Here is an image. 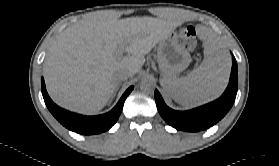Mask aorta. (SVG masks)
Listing matches in <instances>:
<instances>
[{
	"label": "aorta",
	"instance_id": "aorta-1",
	"mask_svg": "<svg viewBox=\"0 0 279 166\" xmlns=\"http://www.w3.org/2000/svg\"><path fill=\"white\" fill-rule=\"evenodd\" d=\"M140 90L145 93L153 92V90H154L153 82L148 78L142 79L141 83H140Z\"/></svg>",
	"mask_w": 279,
	"mask_h": 166
}]
</instances>
